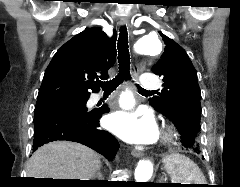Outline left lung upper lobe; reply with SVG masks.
<instances>
[{"instance_id":"obj_1","label":"left lung upper lobe","mask_w":240,"mask_h":187,"mask_svg":"<svg viewBox=\"0 0 240 187\" xmlns=\"http://www.w3.org/2000/svg\"><path fill=\"white\" fill-rule=\"evenodd\" d=\"M159 33L166 47L152 71L163 77L164 89L159 96L150 99V104L167 116L175 126L191 128L198 137L201 92L197 72L186 51L162 32Z\"/></svg>"}]
</instances>
